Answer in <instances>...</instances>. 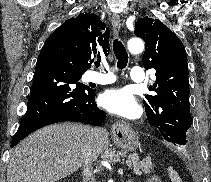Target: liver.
Segmentation results:
<instances>
[{"mask_svg": "<svg viewBox=\"0 0 211 182\" xmlns=\"http://www.w3.org/2000/svg\"><path fill=\"white\" fill-rule=\"evenodd\" d=\"M93 128L77 123L44 127L21 141L12 150L7 166V182H55L84 164L85 149ZM94 135L97 156L109 146L108 132Z\"/></svg>", "mask_w": 211, "mask_h": 182, "instance_id": "6515ba94", "label": "liver"}]
</instances>
